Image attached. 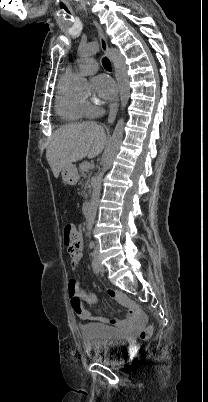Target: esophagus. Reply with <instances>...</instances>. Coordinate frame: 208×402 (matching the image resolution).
<instances>
[{
	"mask_svg": "<svg viewBox=\"0 0 208 402\" xmlns=\"http://www.w3.org/2000/svg\"><path fill=\"white\" fill-rule=\"evenodd\" d=\"M95 25L98 29L99 35H100V45L102 50L107 53V55L110 57V50H109V46L107 43V40L103 34V31L101 30L100 26L95 22ZM118 105H119V97H117L113 103H111L110 105V110H109V115H108V123H113L116 115H117V111H118Z\"/></svg>",
	"mask_w": 208,
	"mask_h": 402,
	"instance_id": "34e87169",
	"label": "esophagus"
}]
</instances>
